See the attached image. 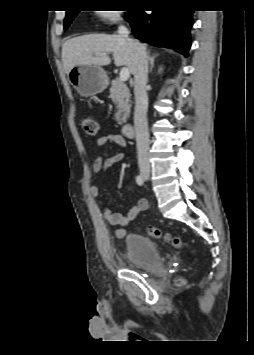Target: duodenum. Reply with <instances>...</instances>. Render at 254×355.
Wrapping results in <instances>:
<instances>
[{
  "label": "duodenum",
  "mask_w": 254,
  "mask_h": 355,
  "mask_svg": "<svg viewBox=\"0 0 254 355\" xmlns=\"http://www.w3.org/2000/svg\"><path fill=\"white\" fill-rule=\"evenodd\" d=\"M134 125L131 123H126L123 126V134L125 135V137L127 138H132L134 136Z\"/></svg>",
  "instance_id": "1"
}]
</instances>
